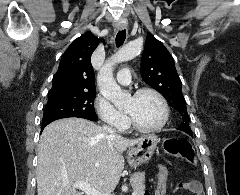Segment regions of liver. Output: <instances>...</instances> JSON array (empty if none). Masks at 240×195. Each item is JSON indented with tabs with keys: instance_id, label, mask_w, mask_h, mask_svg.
Wrapping results in <instances>:
<instances>
[{
	"instance_id": "obj_1",
	"label": "liver",
	"mask_w": 240,
	"mask_h": 195,
	"mask_svg": "<svg viewBox=\"0 0 240 195\" xmlns=\"http://www.w3.org/2000/svg\"><path fill=\"white\" fill-rule=\"evenodd\" d=\"M107 131L89 119L63 117L42 131L36 167L38 195H82L75 181H88L109 193L124 169L123 151L141 141Z\"/></svg>"
}]
</instances>
